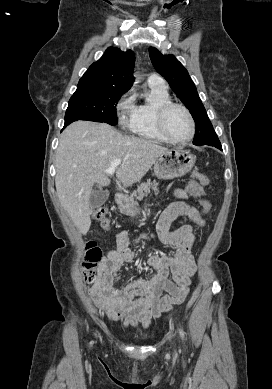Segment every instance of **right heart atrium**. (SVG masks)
Returning <instances> with one entry per match:
<instances>
[{
	"instance_id": "right-heart-atrium-1",
	"label": "right heart atrium",
	"mask_w": 272,
	"mask_h": 389,
	"mask_svg": "<svg viewBox=\"0 0 272 389\" xmlns=\"http://www.w3.org/2000/svg\"><path fill=\"white\" fill-rule=\"evenodd\" d=\"M133 108V96L132 92L128 91L121 96L116 104V111L118 114L119 121L125 123L127 115Z\"/></svg>"
}]
</instances>
